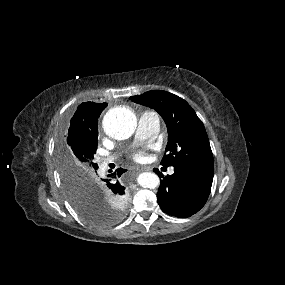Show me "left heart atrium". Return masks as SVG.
Returning a JSON list of instances; mask_svg holds the SVG:
<instances>
[{
    "instance_id": "left-heart-atrium-1",
    "label": "left heart atrium",
    "mask_w": 285,
    "mask_h": 285,
    "mask_svg": "<svg viewBox=\"0 0 285 285\" xmlns=\"http://www.w3.org/2000/svg\"><path fill=\"white\" fill-rule=\"evenodd\" d=\"M133 159L136 160V161H143L145 159V154L144 152H136L134 155H133Z\"/></svg>"
}]
</instances>
